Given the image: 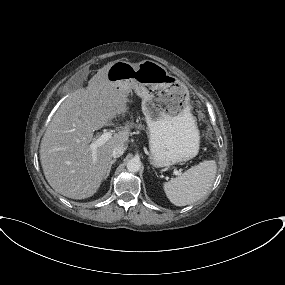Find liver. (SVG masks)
I'll return each instance as SVG.
<instances>
[{
  "instance_id": "1",
  "label": "liver",
  "mask_w": 285,
  "mask_h": 285,
  "mask_svg": "<svg viewBox=\"0 0 285 285\" xmlns=\"http://www.w3.org/2000/svg\"><path fill=\"white\" fill-rule=\"evenodd\" d=\"M113 63L98 70L87 88L73 92L58 108L40 144V161L49 185L61 195L81 200L99 189L115 147H127L128 130L119 131L96 149L93 132L128 112L130 90L107 79Z\"/></svg>"
}]
</instances>
